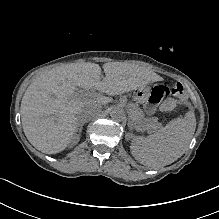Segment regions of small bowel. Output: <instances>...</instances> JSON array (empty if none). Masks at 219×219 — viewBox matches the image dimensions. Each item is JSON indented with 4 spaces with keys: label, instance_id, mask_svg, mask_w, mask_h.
I'll return each instance as SVG.
<instances>
[{
    "label": "small bowel",
    "instance_id": "obj_1",
    "mask_svg": "<svg viewBox=\"0 0 219 219\" xmlns=\"http://www.w3.org/2000/svg\"><path fill=\"white\" fill-rule=\"evenodd\" d=\"M169 90L168 88L164 87V86H158L155 90V98L156 100L153 101L152 103H150L146 110L149 114H153L155 112L156 109V104L159 102V100L161 98H163L164 96H166L168 94Z\"/></svg>",
    "mask_w": 219,
    "mask_h": 219
}]
</instances>
